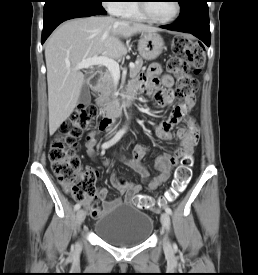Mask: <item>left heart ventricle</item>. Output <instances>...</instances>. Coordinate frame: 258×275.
<instances>
[{
    "instance_id": "left-heart-ventricle-1",
    "label": "left heart ventricle",
    "mask_w": 258,
    "mask_h": 275,
    "mask_svg": "<svg viewBox=\"0 0 258 275\" xmlns=\"http://www.w3.org/2000/svg\"><path fill=\"white\" fill-rule=\"evenodd\" d=\"M147 6L149 13L160 20L172 17L176 11L175 2L171 0L150 1Z\"/></svg>"
}]
</instances>
